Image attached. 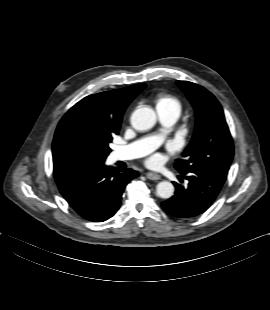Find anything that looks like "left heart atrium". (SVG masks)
I'll list each match as a JSON object with an SVG mask.
<instances>
[{"label":"left heart atrium","mask_w":270,"mask_h":310,"mask_svg":"<svg viewBox=\"0 0 270 310\" xmlns=\"http://www.w3.org/2000/svg\"><path fill=\"white\" fill-rule=\"evenodd\" d=\"M155 161V158L152 159V162Z\"/></svg>","instance_id":"obj_1"}]
</instances>
